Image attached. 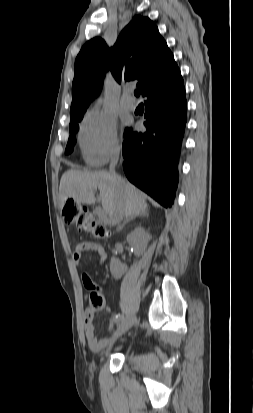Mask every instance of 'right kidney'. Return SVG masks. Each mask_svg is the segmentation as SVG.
<instances>
[{"instance_id": "ca27d5eb", "label": "right kidney", "mask_w": 253, "mask_h": 413, "mask_svg": "<svg viewBox=\"0 0 253 413\" xmlns=\"http://www.w3.org/2000/svg\"><path fill=\"white\" fill-rule=\"evenodd\" d=\"M150 239V234L140 226L127 235V242L134 249L137 256H140L146 250ZM110 271L115 279H120L127 271V266L121 263L119 259L112 257L110 262Z\"/></svg>"}]
</instances>
